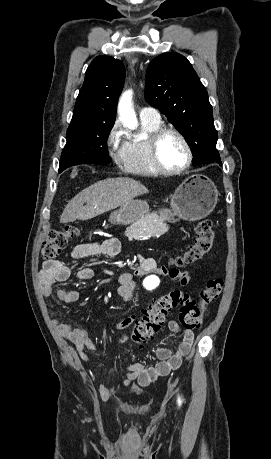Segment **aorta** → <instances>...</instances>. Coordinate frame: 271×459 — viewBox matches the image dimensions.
<instances>
[{
  "label": "aorta",
  "mask_w": 271,
  "mask_h": 459,
  "mask_svg": "<svg viewBox=\"0 0 271 459\" xmlns=\"http://www.w3.org/2000/svg\"><path fill=\"white\" fill-rule=\"evenodd\" d=\"M131 99H132V92L126 91L120 99L119 102V112L120 117L123 122L129 126L134 128L137 126V120L133 109L131 108ZM159 284V278L155 275L147 276L144 281L143 285L146 289L151 290L154 289Z\"/></svg>",
  "instance_id": "1"
}]
</instances>
